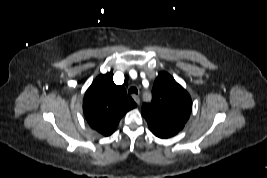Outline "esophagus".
<instances>
[{"mask_svg": "<svg viewBox=\"0 0 267 178\" xmlns=\"http://www.w3.org/2000/svg\"><path fill=\"white\" fill-rule=\"evenodd\" d=\"M132 97H133L134 101L139 105L140 104V98L136 95H133Z\"/></svg>", "mask_w": 267, "mask_h": 178, "instance_id": "34e87169", "label": "esophagus"}]
</instances>
